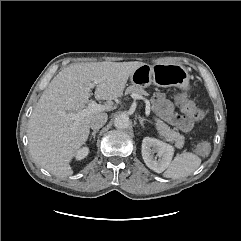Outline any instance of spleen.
<instances>
[{
    "mask_svg": "<svg viewBox=\"0 0 241 241\" xmlns=\"http://www.w3.org/2000/svg\"><path fill=\"white\" fill-rule=\"evenodd\" d=\"M201 164V159L196 154L184 152L177 154L163 173L165 178L179 179L193 173Z\"/></svg>",
    "mask_w": 241,
    "mask_h": 241,
    "instance_id": "1",
    "label": "spleen"
}]
</instances>
